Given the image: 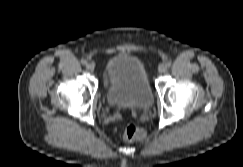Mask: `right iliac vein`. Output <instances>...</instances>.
I'll use <instances>...</instances> for the list:
<instances>
[{
  "label": "right iliac vein",
  "instance_id": "63e3f726",
  "mask_svg": "<svg viewBox=\"0 0 243 167\" xmlns=\"http://www.w3.org/2000/svg\"><path fill=\"white\" fill-rule=\"evenodd\" d=\"M86 68H87L89 71H91V72L94 71V65H93L92 63H88V64L86 65Z\"/></svg>",
  "mask_w": 243,
  "mask_h": 167
}]
</instances>
